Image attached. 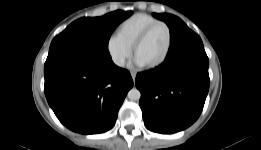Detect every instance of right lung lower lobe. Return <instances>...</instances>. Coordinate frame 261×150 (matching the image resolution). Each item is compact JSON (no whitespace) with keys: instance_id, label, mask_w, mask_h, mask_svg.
Segmentation results:
<instances>
[{"instance_id":"right-lung-lower-lobe-1","label":"right lung lower lobe","mask_w":261,"mask_h":150,"mask_svg":"<svg viewBox=\"0 0 261 150\" xmlns=\"http://www.w3.org/2000/svg\"><path fill=\"white\" fill-rule=\"evenodd\" d=\"M45 96L60 122L74 132L97 134L111 129L127 92L130 73L109 56L61 52L44 66Z\"/></svg>"}]
</instances>
